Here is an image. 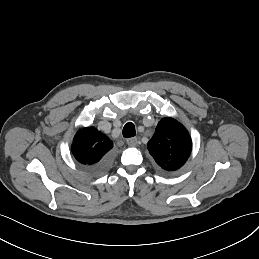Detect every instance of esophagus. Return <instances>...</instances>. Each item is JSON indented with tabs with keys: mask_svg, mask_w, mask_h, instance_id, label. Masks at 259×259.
Segmentation results:
<instances>
[{
	"mask_svg": "<svg viewBox=\"0 0 259 259\" xmlns=\"http://www.w3.org/2000/svg\"><path fill=\"white\" fill-rule=\"evenodd\" d=\"M127 144H128V146H130V147L136 146V145H137V138H135V137L129 138V139L127 140Z\"/></svg>",
	"mask_w": 259,
	"mask_h": 259,
	"instance_id": "1",
	"label": "esophagus"
}]
</instances>
